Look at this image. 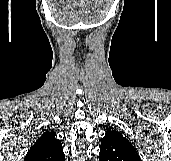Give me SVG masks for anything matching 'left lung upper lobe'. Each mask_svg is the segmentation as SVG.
<instances>
[{
  "mask_svg": "<svg viewBox=\"0 0 171 161\" xmlns=\"http://www.w3.org/2000/svg\"><path fill=\"white\" fill-rule=\"evenodd\" d=\"M100 147L99 161H141L129 140L112 127L107 129Z\"/></svg>",
  "mask_w": 171,
  "mask_h": 161,
  "instance_id": "5c2ea615",
  "label": "left lung upper lobe"
}]
</instances>
